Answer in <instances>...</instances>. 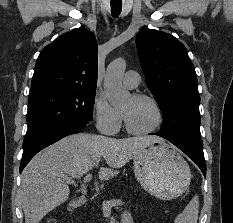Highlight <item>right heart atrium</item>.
<instances>
[{
	"label": "right heart atrium",
	"instance_id": "d8ad5b80",
	"mask_svg": "<svg viewBox=\"0 0 233 223\" xmlns=\"http://www.w3.org/2000/svg\"><path fill=\"white\" fill-rule=\"evenodd\" d=\"M93 115L96 128L103 134H116L122 126V118L117 109L112 107L103 95L93 99Z\"/></svg>",
	"mask_w": 233,
	"mask_h": 223
}]
</instances>
